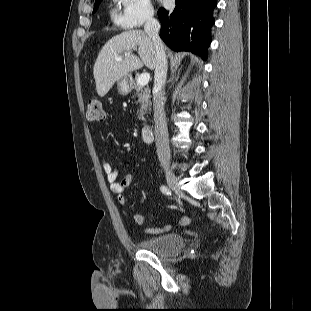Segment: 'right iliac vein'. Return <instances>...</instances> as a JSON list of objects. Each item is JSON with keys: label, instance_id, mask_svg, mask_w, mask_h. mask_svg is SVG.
I'll list each match as a JSON object with an SVG mask.
<instances>
[{"label": "right iliac vein", "instance_id": "1", "mask_svg": "<svg viewBox=\"0 0 311 311\" xmlns=\"http://www.w3.org/2000/svg\"><path fill=\"white\" fill-rule=\"evenodd\" d=\"M165 176H166V180H167V183H168L169 187L173 191H175L176 194L182 196L183 192H182V190L180 188V185L178 183V179L175 176V174L170 169L167 168L165 170Z\"/></svg>", "mask_w": 311, "mask_h": 311}]
</instances>
